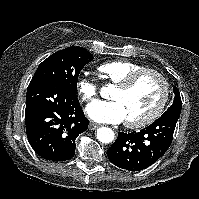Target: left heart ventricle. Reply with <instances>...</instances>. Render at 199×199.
I'll use <instances>...</instances> for the list:
<instances>
[{"instance_id": "left-heart-ventricle-1", "label": "left heart ventricle", "mask_w": 199, "mask_h": 199, "mask_svg": "<svg viewBox=\"0 0 199 199\" xmlns=\"http://www.w3.org/2000/svg\"><path fill=\"white\" fill-rule=\"evenodd\" d=\"M162 91L161 81L156 76L148 74L128 91L115 88L111 98L122 104L126 120H136L145 117L155 108Z\"/></svg>"}]
</instances>
